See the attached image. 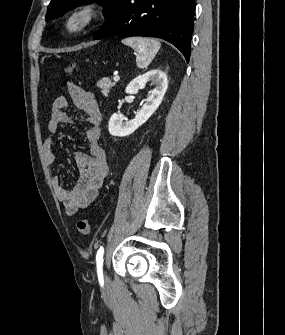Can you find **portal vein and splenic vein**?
<instances>
[{
  "mask_svg": "<svg viewBox=\"0 0 285 335\" xmlns=\"http://www.w3.org/2000/svg\"><path fill=\"white\" fill-rule=\"evenodd\" d=\"M113 80H114V82H119L120 78H119V76H117V74H115Z\"/></svg>",
  "mask_w": 285,
  "mask_h": 335,
  "instance_id": "portal-vein-and-splenic-vein-1",
  "label": "portal vein and splenic vein"
}]
</instances>
